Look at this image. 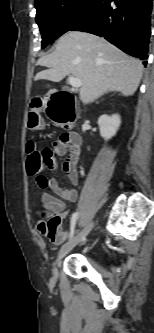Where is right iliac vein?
<instances>
[{
    "label": "right iliac vein",
    "instance_id": "1",
    "mask_svg": "<svg viewBox=\"0 0 154 333\" xmlns=\"http://www.w3.org/2000/svg\"><path fill=\"white\" fill-rule=\"evenodd\" d=\"M94 226V222L89 223L82 231L77 233L69 242L62 246L58 253V257L53 265V277L57 278L58 276V264L60 260L68 254L77 244L85 239Z\"/></svg>",
    "mask_w": 154,
    "mask_h": 333
}]
</instances>
